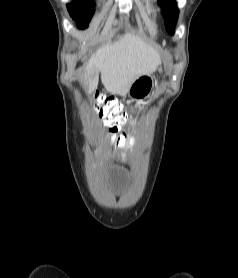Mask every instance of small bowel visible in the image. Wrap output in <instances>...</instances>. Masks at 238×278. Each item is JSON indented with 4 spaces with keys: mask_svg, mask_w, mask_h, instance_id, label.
Masks as SVG:
<instances>
[{
    "mask_svg": "<svg viewBox=\"0 0 238 278\" xmlns=\"http://www.w3.org/2000/svg\"><path fill=\"white\" fill-rule=\"evenodd\" d=\"M113 137H116V136H113ZM119 138H124L123 136H119L118 138H117V142L119 143V142H124V141H119ZM119 146H124V145H119Z\"/></svg>",
    "mask_w": 238,
    "mask_h": 278,
    "instance_id": "1",
    "label": "small bowel"
}]
</instances>
